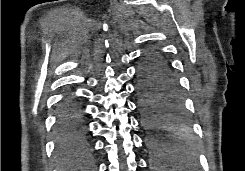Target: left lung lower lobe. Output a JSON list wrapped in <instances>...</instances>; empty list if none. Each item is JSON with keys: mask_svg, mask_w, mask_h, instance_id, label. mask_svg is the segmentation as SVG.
<instances>
[{"mask_svg": "<svg viewBox=\"0 0 245 171\" xmlns=\"http://www.w3.org/2000/svg\"><path fill=\"white\" fill-rule=\"evenodd\" d=\"M152 61H139L138 88L143 120L148 129L177 132L185 121V108L179 78L170 61L152 49ZM146 144L156 159L155 167H182L187 155L170 141L155 133L147 135ZM169 156V157H162Z\"/></svg>", "mask_w": 245, "mask_h": 171, "instance_id": "left-lung-lower-lobe-1", "label": "left lung lower lobe"}]
</instances>
